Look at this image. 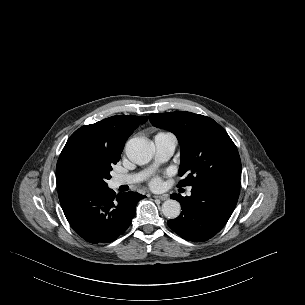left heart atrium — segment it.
<instances>
[{"label":"left heart atrium","mask_w":305,"mask_h":305,"mask_svg":"<svg viewBox=\"0 0 305 305\" xmlns=\"http://www.w3.org/2000/svg\"><path fill=\"white\" fill-rule=\"evenodd\" d=\"M150 185H151L152 188L157 189V188H160V187H161L162 181H161L160 178H154V179L151 181Z\"/></svg>","instance_id":"1"}]
</instances>
